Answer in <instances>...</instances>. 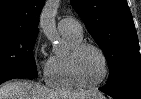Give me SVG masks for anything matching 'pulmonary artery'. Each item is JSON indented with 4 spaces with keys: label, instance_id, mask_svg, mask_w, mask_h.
<instances>
[{
    "label": "pulmonary artery",
    "instance_id": "e3ab8cb5",
    "mask_svg": "<svg viewBox=\"0 0 141 99\" xmlns=\"http://www.w3.org/2000/svg\"><path fill=\"white\" fill-rule=\"evenodd\" d=\"M58 29L62 34H71L77 37L83 36V28L81 24L72 17H65L58 23Z\"/></svg>",
    "mask_w": 141,
    "mask_h": 99
}]
</instances>
